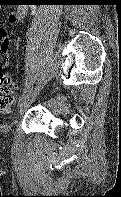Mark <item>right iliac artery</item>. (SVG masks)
I'll return each mask as SVG.
<instances>
[{
  "instance_id": "obj_1",
  "label": "right iliac artery",
  "mask_w": 121,
  "mask_h": 197,
  "mask_svg": "<svg viewBox=\"0 0 121 197\" xmlns=\"http://www.w3.org/2000/svg\"><path fill=\"white\" fill-rule=\"evenodd\" d=\"M32 89H33V78H32V76H29L26 80L24 92L19 100L20 104L28 97V95L31 93Z\"/></svg>"
}]
</instances>
